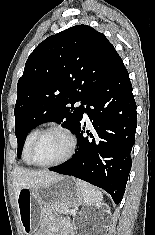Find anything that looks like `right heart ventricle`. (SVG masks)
Segmentation results:
<instances>
[{
	"mask_svg": "<svg viewBox=\"0 0 155 235\" xmlns=\"http://www.w3.org/2000/svg\"><path fill=\"white\" fill-rule=\"evenodd\" d=\"M41 128L32 129L25 137L22 148V159L26 165H32L28 158V150L36 135L40 132Z\"/></svg>",
	"mask_w": 155,
	"mask_h": 235,
	"instance_id": "right-heart-ventricle-1",
	"label": "right heart ventricle"
}]
</instances>
